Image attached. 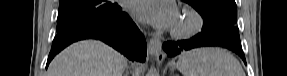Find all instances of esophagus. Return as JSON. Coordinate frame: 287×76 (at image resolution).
Returning a JSON list of instances; mask_svg holds the SVG:
<instances>
[{
	"label": "esophagus",
	"instance_id": "esophagus-1",
	"mask_svg": "<svg viewBox=\"0 0 287 76\" xmlns=\"http://www.w3.org/2000/svg\"><path fill=\"white\" fill-rule=\"evenodd\" d=\"M148 52L158 62H162L165 59V55L161 50V41L156 36L150 38L148 43Z\"/></svg>",
	"mask_w": 287,
	"mask_h": 76
}]
</instances>
